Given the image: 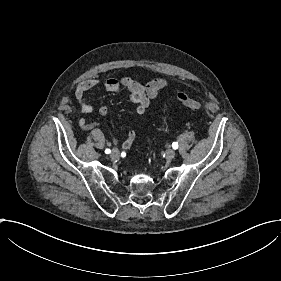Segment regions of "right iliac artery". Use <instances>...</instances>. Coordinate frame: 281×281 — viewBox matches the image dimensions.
<instances>
[{
	"instance_id": "obj_1",
	"label": "right iliac artery",
	"mask_w": 281,
	"mask_h": 281,
	"mask_svg": "<svg viewBox=\"0 0 281 281\" xmlns=\"http://www.w3.org/2000/svg\"><path fill=\"white\" fill-rule=\"evenodd\" d=\"M105 153H106V154H109V153H111V150H110V149H106V150H105Z\"/></svg>"
}]
</instances>
